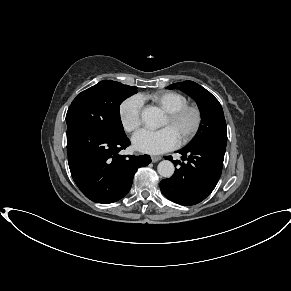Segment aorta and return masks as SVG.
Instances as JSON below:
<instances>
[{
	"instance_id": "obj_1",
	"label": "aorta",
	"mask_w": 291,
	"mask_h": 291,
	"mask_svg": "<svg viewBox=\"0 0 291 291\" xmlns=\"http://www.w3.org/2000/svg\"><path fill=\"white\" fill-rule=\"evenodd\" d=\"M141 119L147 128L156 129L161 126L162 113L157 107H146L141 113ZM174 170V165L169 160H163L157 166L158 173L165 178H170Z\"/></svg>"
}]
</instances>
